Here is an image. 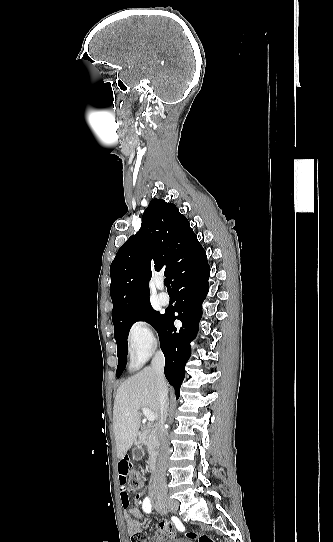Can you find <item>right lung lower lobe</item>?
Returning a JSON list of instances; mask_svg holds the SVG:
<instances>
[{"label":"right lung lower lobe","instance_id":"1","mask_svg":"<svg viewBox=\"0 0 333 542\" xmlns=\"http://www.w3.org/2000/svg\"><path fill=\"white\" fill-rule=\"evenodd\" d=\"M209 275L206 252L198 240L177 253L171 282L176 303L166 310L157 330L166 360L165 376L174 387L177 399L185 376V364L191 354L190 342L196 338L202 303L209 290ZM175 319L182 322V327L174 326Z\"/></svg>","mask_w":333,"mask_h":542}]
</instances>
